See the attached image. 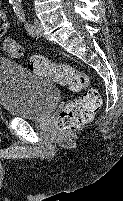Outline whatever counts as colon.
Masks as SVG:
<instances>
[{
	"instance_id": "1",
	"label": "colon",
	"mask_w": 123,
	"mask_h": 201,
	"mask_svg": "<svg viewBox=\"0 0 123 201\" xmlns=\"http://www.w3.org/2000/svg\"><path fill=\"white\" fill-rule=\"evenodd\" d=\"M2 48L13 57L20 58L22 49L11 37H5ZM28 67L34 73L51 77L58 84L69 87L73 91H82L79 98L69 101L60 111L55 122V135L80 129L88 124L101 107V97L97 90L88 89L89 79L86 73L76 71L66 64H55L49 59L34 55L28 61Z\"/></svg>"
}]
</instances>
